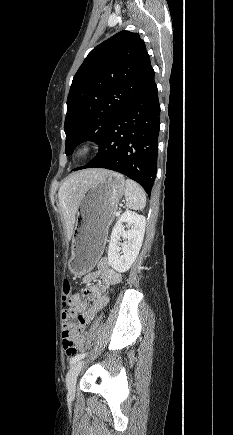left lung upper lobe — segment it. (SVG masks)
Returning a JSON list of instances; mask_svg holds the SVG:
<instances>
[{"label":"left lung upper lobe","instance_id":"obj_1","mask_svg":"<svg viewBox=\"0 0 233 435\" xmlns=\"http://www.w3.org/2000/svg\"><path fill=\"white\" fill-rule=\"evenodd\" d=\"M154 77L139 34L121 31L95 47L75 74L67 99L65 153L103 140L113 121Z\"/></svg>","mask_w":233,"mask_h":435}]
</instances>
